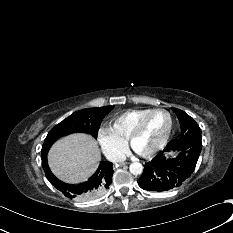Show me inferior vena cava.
I'll use <instances>...</instances> for the list:
<instances>
[{"label": "inferior vena cava", "instance_id": "inferior-vena-cava-1", "mask_svg": "<svg viewBox=\"0 0 233 233\" xmlns=\"http://www.w3.org/2000/svg\"><path fill=\"white\" fill-rule=\"evenodd\" d=\"M110 162L117 163L125 160V156L120 153H113L107 156Z\"/></svg>", "mask_w": 233, "mask_h": 233}]
</instances>
